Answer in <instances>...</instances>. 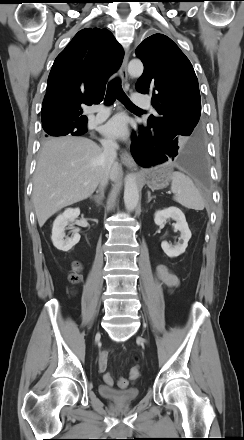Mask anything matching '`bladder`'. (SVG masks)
Segmentation results:
<instances>
[{"instance_id": "bladder-1", "label": "bladder", "mask_w": 244, "mask_h": 440, "mask_svg": "<svg viewBox=\"0 0 244 440\" xmlns=\"http://www.w3.org/2000/svg\"><path fill=\"white\" fill-rule=\"evenodd\" d=\"M98 390L103 398L119 404L134 402L139 397V390L137 388L117 390L102 384L99 385Z\"/></svg>"}]
</instances>
